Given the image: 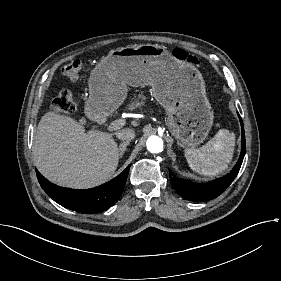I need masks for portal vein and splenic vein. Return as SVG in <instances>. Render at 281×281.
Here are the masks:
<instances>
[{"mask_svg": "<svg viewBox=\"0 0 281 281\" xmlns=\"http://www.w3.org/2000/svg\"><path fill=\"white\" fill-rule=\"evenodd\" d=\"M127 124V121L124 119L115 120L113 123H110L105 127V132L107 134H112L114 131H119L121 127H126Z\"/></svg>", "mask_w": 281, "mask_h": 281, "instance_id": "portal-vein-and-splenic-vein-1", "label": "portal vein and splenic vein"}]
</instances>
